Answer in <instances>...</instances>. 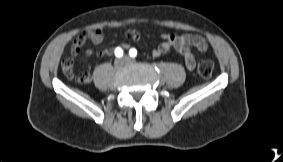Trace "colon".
Returning a JSON list of instances; mask_svg holds the SVG:
<instances>
[{"label":"colon","instance_id":"5ec220e1","mask_svg":"<svg viewBox=\"0 0 283 162\" xmlns=\"http://www.w3.org/2000/svg\"><path fill=\"white\" fill-rule=\"evenodd\" d=\"M214 69V64L211 60L209 59H202L198 66H197V71L199 75L203 78H208L212 75ZM79 83H88L90 81V74L84 72L82 74H79L77 76H73Z\"/></svg>","mask_w":283,"mask_h":162}]
</instances>
